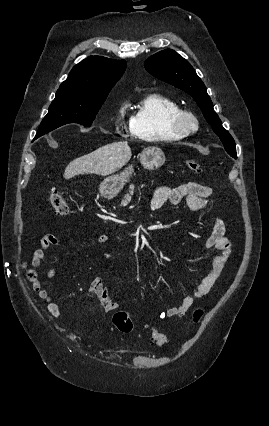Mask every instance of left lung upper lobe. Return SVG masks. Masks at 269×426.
Masks as SVG:
<instances>
[{
    "label": "left lung upper lobe",
    "instance_id": "1",
    "mask_svg": "<svg viewBox=\"0 0 269 426\" xmlns=\"http://www.w3.org/2000/svg\"><path fill=\"white\" fill-rule=\"evenodd\" d=\"M144 66L156 78L191 95L213 131L220 137L225 150L230 156L237 158L234 139L223 128L221 120L213 109L212 101L207 94L204 83L187 60L174 50L166 49L149 57Z\"/></svg>",
    "mask_w": 269,
    "mask_h": 426
}]
</instances>
